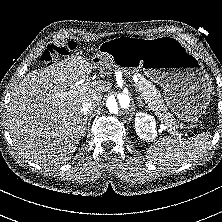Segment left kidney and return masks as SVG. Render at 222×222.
Returning a JSON list of instances; mask_svg holds the SVG:
<instances>
[{
    "instance_id": "5707ae66",
    "label": "left kidney",
    "mask_w": 222,
    "mask_h": 222,
    "mask_svg": "<svg viewBox=\"0 0 222 222\" xmlns=\"http://www.w3.org/2000/svg\"><path fill=\"white\" fill-rule=\"evenodd\" d=\"M155 118L147 113L139 112L135 117V130L137 135L148 142L153 141L157 132Z\"/></svg>"
}]
</instances>
